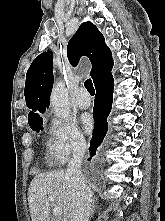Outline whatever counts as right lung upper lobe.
Listing matches in <instances>:
<instances>
[{
	"instance_id": "obj_1",
	"label": "right lung upper lobe",
	"mask_w": 165,
	"mask_h": 221,
	"mask_svg": "<svg viewBox=\"0 0 165 221\" xmlns=\"http://www.w3.org/2000/svg\"><path fill=\"white\" fill-rule=\"evenodd\" d=\"M82 55L92 63L90 75L95 85L111 75L112 53L101 32L91 22L82 23L67 46V56L72 66L78 64ZM52 58L51 51L40 54L27 71L24 94L26 105L31 109L28 122L41 118L39 113H44L49 106L54 81Z\"/></svg>"
}]
</instances>
